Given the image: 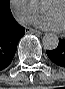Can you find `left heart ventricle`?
Segmentation results:
<instances>
[{
	"label": "left heart ventricle",
	"mask_w": 65,
	"mask_h": 89,
	"mask_svg": "<svg viewBox=\"0 0 65 89\" xmlns=\"http://www.w3.org/2000/svg\"><path fill=\"white\" fill-rule=\"evenodd\" d=\"M45 11L51 16H56L60 19L65 27V7L61 3H49L45 6Z\"/></svg>",
	"instance_id": "obj_1"
}]
</instances>
